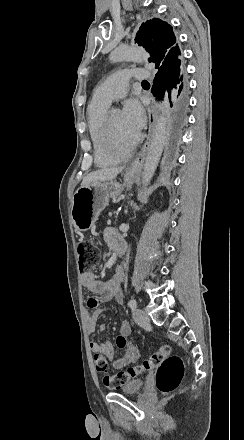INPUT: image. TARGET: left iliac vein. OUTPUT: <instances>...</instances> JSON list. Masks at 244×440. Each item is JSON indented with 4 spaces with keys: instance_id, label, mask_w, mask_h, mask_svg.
Instances as JSON below:
<instances>
[{
    "instance_id": "4c4485c4",
    "label": "left iliac vein",
    "mask_w": 244,
    "mask_h": 440,
    "mask_svg": "<svg viewBox=\"0 0 244 440\" xmlns=\"http://www.w3.org/2000/svg\"><path fill=\"white\" fill-rule=\"evenodd\" d=\"M133 319L139 325L148 324L150 321V318L148 317L146 311L142 310V309H135L134 310Z\"/></svg>"
}]
</instances>
